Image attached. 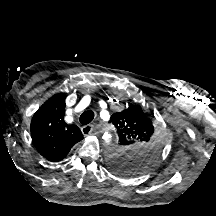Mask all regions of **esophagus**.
I'll list each match as a JSON object with an SVG mask.
<instances>
[{
  "instance_id": "obj_1",
  "label": "esophagus",
  "mask_w": 216,
  "mask_h": 216,
  "mask_svg": "<svg viewBox=\"0 0 216 216\" xmlns=\"http://www.w3.org/2000/svg\"><path fill=\"white\" fill-rule=\"evenodd\" d=\"M81 130L85 136H89V135H92V133L94 131V126L93 125H85L81 128Z\"/></svg>"
}]
</instances>
